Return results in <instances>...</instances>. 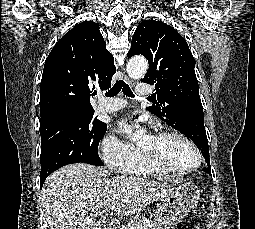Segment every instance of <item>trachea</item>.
<instances>
[{"label":"trachea","instance_id":"1","mask_svg":"<svg viewBox=\"0 0 255 229\" xmlns=\"http://www.w3.org/2000/svg\"><path fill=\"white\" fill-rule=\"evenodd\" d=\"M123 91L124 95L128 96V97H134V94L132 92V90L130 89L129 85L126 84L124 81L119 80L117 81L114 86L108 90V92L106 93V96L108 97H114L115 95H117L120 91Z\"/></svg>","mask_w":255,"mask_h":229}]
</instances>
